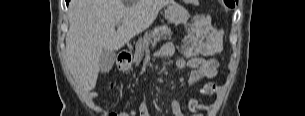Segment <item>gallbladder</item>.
Listing matches in <instances>:
<instances>
[{
  "label": "gallbladder",
  "mask_w": 305,
  "mask_h": 116,
  "mask_svg": "<svg viewBox=\"0 0 305 116\" xmlns=\"http://www.w3.org/2000/svg\"><path fill=\"white\" fill-rule=\"evenodd\" d=\"M116 54L113 51H103L102 55L100 56L99 66L102 73H108L115 62Z\"/></svg>",
  "instance_id": "1"
}]
</instances>
